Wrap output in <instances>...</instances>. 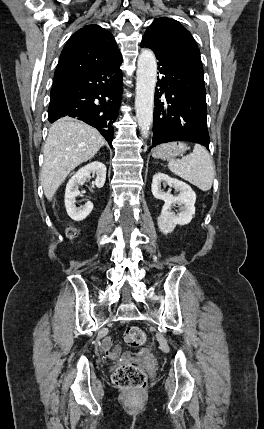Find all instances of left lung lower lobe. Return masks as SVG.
I'll list each match as a JSON object with an SVG mask.
<instances>
[{
  "label": "left lung lower lobe",
  "instance_id": "left-lung-lower-lobe-1",
  "mask_svg": "<svg viewBox=\"0 0 264 429\" xmlns=\"http://www.w3.org/2000/svg\"><path fill=\"white\" fill-rule=\"evenodd\" d=\"M141 47L154 51L160 74L155 90L152 147L170 141H191L209 148L204 76L180 52L148 35L143 36ZM162 94L164 102L159 99Z\"/></svg>",
  "mask_w": 264,
  "mask_h": 429
}]
</instances>
